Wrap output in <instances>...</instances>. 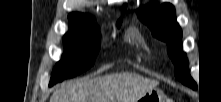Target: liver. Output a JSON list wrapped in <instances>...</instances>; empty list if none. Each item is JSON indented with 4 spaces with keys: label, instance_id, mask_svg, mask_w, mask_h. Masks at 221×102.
<instances>
[{
    "label": "liver",
    "instance_id": "6515ba94",
    "mask_svg": "<svg viewBox=\"0 0 221 102\" xmlns=\"http://www.w3.org/2000/svg\"><path fill=\"white\" fill-rule=\"evenodd\" d=\"M158 82L132 73H115L68 82L57 89L50 102H136Z\"/></svg>",
    "mask_w": 221,
    "mask_h": 102
}]
</instances>
